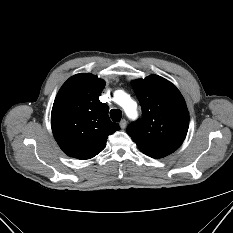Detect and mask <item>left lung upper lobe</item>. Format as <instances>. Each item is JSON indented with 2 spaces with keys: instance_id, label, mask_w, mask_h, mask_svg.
I'll use <instances>...</instances> for the list:
<instances>
[{
  "instance_id": "1",
  "label": "left lung upper lobe",
  "mask_w": 233,
  "mask_h": 233,
  "mask_svg": "<svg viewBox=\"0 0 233 233\" xmlns=\"http://www.w3.org/2000/svg\"><path fill=\"white\" fill-rule=\"evenodd\" d=\"M142 108V119L130 124L127 133L148 156H166L184 141L189 113L179 90L166 79L150 75L132 82Z\"/></svg>"
}]
</instances>
